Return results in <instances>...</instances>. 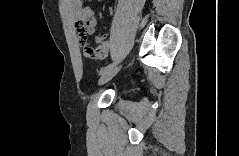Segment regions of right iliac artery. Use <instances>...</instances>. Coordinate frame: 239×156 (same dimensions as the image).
Returning <instances> with one entry per match:
<instances>
[{
  "label": "right iliac artery",
  "mask_w": 239,
  "mask_h": 156,
  "mask_svg": "<svg viewBox=\"0 0 239 156\" xmlns=\"http://www.w3.org/2000/svg\"><path fill=\"white\" fill-rule=\"evenodd\" d=\"M114 65H116V62H113V63L101 68L100 71H99V75H102L103 73H105L108 69H110Z\"/></svg>",
  "instance_id": "obj_1"
}]
</instances>
